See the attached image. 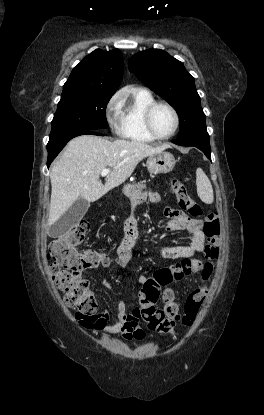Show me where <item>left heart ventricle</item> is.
<instances>
[{
  "label": "left heart ventricle",
  "mask_w": 264,
  "mask_h": 415,
  "mask_svg": "<svg viewBox=\"0 0 264 415\" xmlns=\"http://www.w3.org/2000/svg\"><path fill=\"white\" fill-rule=\"evenodd\" d=\"M153 128L158 135L164 136L169 134L175 124L172 112L165 106H159L155 109L152 116Z\"/></svg>",
  "instance_id": "obj_1"
}]
</instances>
